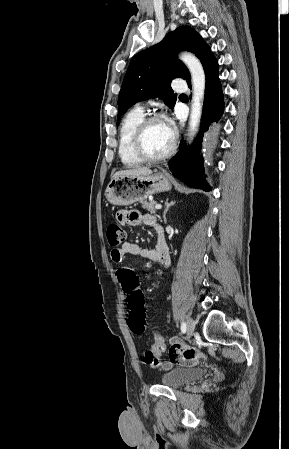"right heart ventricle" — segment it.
Listing matches in <instances>:
<instances>
[{
    "label": "right heart ventricle",
    "mask_w": 289,
    "mask_h": 449,
    "mask_svg": "<svg viewBox=\"0 0 289 449\" xmlns=\"http://www.w3.org/2000/svg\"><path fill=\"white\" fill-rule=\"evenodd\" d=\"M145 118L142 108L132 109L123 119L120 134L118 153L122 163L126 166H136L142 163V160L135 154L133 147L134 133Z\"/></svg>",
    "instance_id": "right-heart-ventricle-1"
}]
</instances>
